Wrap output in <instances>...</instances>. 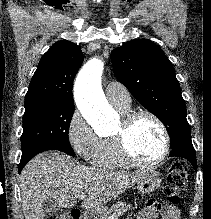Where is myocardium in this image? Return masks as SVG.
I'll list each match as a JSON object with an SVG mask.
<instances>
[{
	"label": "myocardium",
	"instance_id": "f54148a6",
	"mask_svg": "<svg viewBox=\"0 0 211 219\" xmlns=\"http://www.w3.org/2000/svg\"><path fill=\"white\" fill-rule=\"evenodd\" d=\"M147 116L151 118L159 127L161 130L162 136H163V150L161 155L152 161H142L138 159L130 150L129 143H128V136L130 133V130L135 123V121L142 117ZM117 152L121 159L128 165L141 167V168H151L160 165L162 162L166 160L170 153L171 148V142H170V136L169 132L167 130L166 125L162 121V119L156 115L154 112L141 109V110H135L130 111L126 113L123 117L121 126L117 133L113 136Z\"/></svg>",
	"mask_w": 211,
	"mask_h": 219
}]
</instances>
